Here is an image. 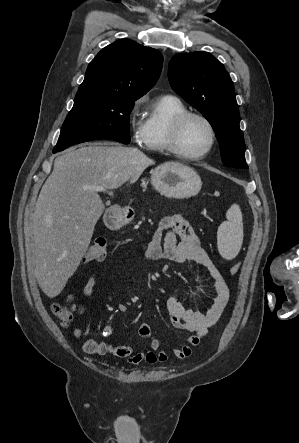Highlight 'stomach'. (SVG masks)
Wrapping results in <instances>:
<instances>
[{"mask_svg":"<svg viewBox=\"0 0 299 443\" xmlns=\"http://www.w3.org/2000/svg\"><path fill=\"white\" fill-rule=\"evenodd\" d=\"M151 184L160 194L175 199L195 196L201 189L200 176L192 168L172 162L155 168L151 173ZM128 222V218L120 213L111 221L112 228H120Z\"/></svg>","mask_w":299,"mask_h":443,"instance_id":"stomach-1","label":"stomach"}]
</instances>
